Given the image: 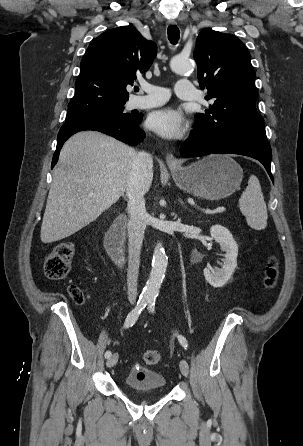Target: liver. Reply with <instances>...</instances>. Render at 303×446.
I'll return each mask as SVG.
<instances>
[{
    "mask_svg": "<svg viewBox=\"0 0 303 446\" xmlns=\"http://www.w3.org/2000/svg\"><path fill=\"white\" fill-rule=\"evenodd\" d=\"M134 148L98 132L73 135L63 145L53 173L41 226L43 243L75 234L126 192ZM153 178L146 184L149 190ZM93 193V196H90Z\"/></svg>",
    "mask_w": 303,
    "mask_h": 446,
    "instance_id": "liver-1",
    "label": "liver"
}]
</instances>
